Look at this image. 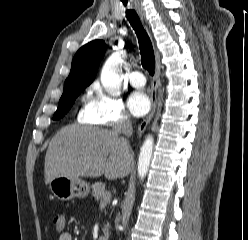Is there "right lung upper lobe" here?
<instances>
[{
    "label": "right lung upper lobe",
    "instance_id": "cb5924a9",
    "mask_svg": "<svg viewBox=\"0 0 248 240\" xmlns=\"http://www.w3.org/2000/svg\"><path fill=\"white\" fill-rule=\"evenodd\" d=\"M106 51L103 40H94L82 46L75 54L71 71L64 85L78 83L87 87L95 78Z\"/></svg>",
    "mask_w": 248,
    "mask_h": 240
}]
</instances>
